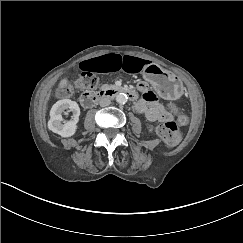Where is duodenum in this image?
Masks as SVG:
<instances>
[{
    "label": "duodenum",
    "mask_w": 243,
    "mask_h": 243,
    "mask_svg": "<svg viewBox=\"0 0 243 243\" xmlns=\"http://www.w3.org/2000/svg\"><path fill=\"white\" fill-rule=\"evenodd\" d=\"M124 93L126 94L129 99L136 100L137 93L127 87H114L107 90L100 91L98 93H90L86 92L81 95L80 102L83 107L89 108L92 107L98 100L105 98V97H114L117 94Z\"/></svg>",
    "instance_id": "410a0bca"
}]
</instances>
